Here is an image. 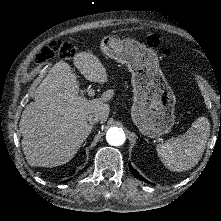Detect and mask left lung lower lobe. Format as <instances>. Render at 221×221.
<instances>
[{"instance_id":"0a47b994","label":"left lung lower lobe","mask_w":221,"mask_h":221,"mask_svg":"<svg viewBox=\"0 0 221 221\" xmlns=\"http://www.w3.org/2000/svg\"><path fill=\"white\" fill-rule=\"evenodd\" d=\"M129 169L131 171V173L138 179L145 181L147 183H150L149 181L145 180L141 175H139V173L131 166V164L129 163Z\"/></svg>"}]
</instances>
